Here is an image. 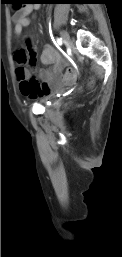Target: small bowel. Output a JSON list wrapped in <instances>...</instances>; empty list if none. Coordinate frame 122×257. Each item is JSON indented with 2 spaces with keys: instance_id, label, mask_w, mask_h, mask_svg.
Listing matches in <instances>:
<instances>
[{
  "instance_id": "small-bowel-1",
  "label": "small bowel",
  "mask_w": 122,
  "mask_h": 257,
  "mask_svg": "<svg viewBox=\"0 0 122 257\" xmlns=\"http://www.w3.org/2000/svg\"><path fill=\"white\" fill-rule=\"evenodd\" d=\"M34 9H36L35 6L27 5L14 14L13 30L17 37L22 34L23 28L30 24V15ZM40 59L44 65L52 66V69H41L37 73H30L28 69L22 66L16 69L20 91L22 95L29 98H43L49 96L51 94V84H58L64 79L62 71L65 66V61L53 46L46 45Z\"/></svg>"
}]
</instances>
